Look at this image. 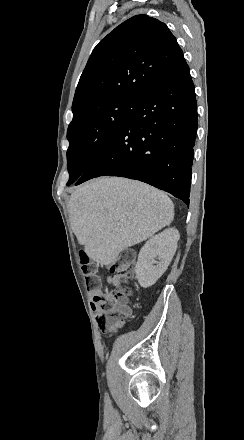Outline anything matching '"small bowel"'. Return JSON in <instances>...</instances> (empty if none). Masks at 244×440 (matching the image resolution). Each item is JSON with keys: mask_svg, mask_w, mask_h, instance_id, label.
Here are the masks:
<instances>
[{"mask_svg": "<svg viewBox=\"0 0 244 440\" xmlns=\"http://www.w3.org/2000/svg\"><path fill=\"white\" fill-rule=\"evenodd\" d=\"M108 282L112 285H118V279L116 277H109ZM100 294L99 290H95L92 292V296L95 297L96 295Z\"/></svg>", "mask_w": 244, "mask_h": 440, "instance_id": "obj_1", "label": "small bowel"}]
</instances>
